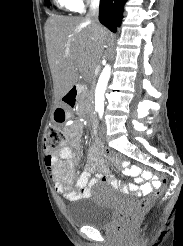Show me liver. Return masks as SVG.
Returning <instances> with one entry per match:
<instances>
[{"label":"liver","instance_id":"obj_1","mask_svg":"<svg viewBox=\"0 0 183 246\" xmlns=\"http://www.w3.org/2000/svg\"><path fill=\"white\" fill-rule=\"evenodd\" d=\"M48 62L56 99H61L78 80L99 63L108 32L86 19L53 15L45 24Z\"/></svg>","mask_w":183,"mask_h":246}]
</instances>
